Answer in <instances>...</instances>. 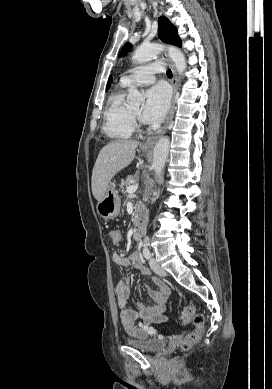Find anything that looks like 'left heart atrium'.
<instances>
[{
  "mask_svg": "<svg viewBox=\"0 0 272 389\" xmlns=\"http://www.w3.org/2000/svg\"><path fill=\"white\" fill-rule=\"evenodd\" d=\"M170 104V93L164 85H155L146 93L142 119L146 123H159L165 117Z\"/></svg>",
  "mask_w": 272,
  "mask_h": 389,
  "instance_id": "obj_1",
  "label": "left heart atrium"
}]
</instances>
